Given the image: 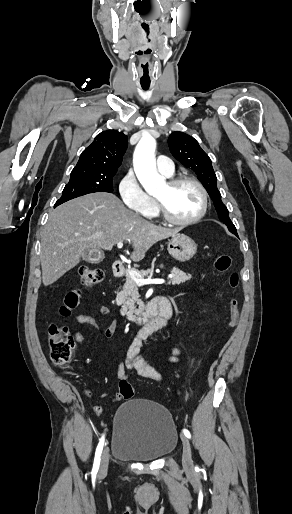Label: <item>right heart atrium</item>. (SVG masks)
<instances>
[{
  "label": "right heart atrium",
  "instance_id": "d8ad5b80",
  "mask_svg": "<svg viewBox=\"0 0 292 514\" xmlns=\"http://www.w3.org/2000/svg\"><path fill=\"white\" fill-rule=\"evenodd\" d=\"M118 194L128 209H141V212H146L151 207V198L132 170L126 171L120 178Z\"/></svg>",
  "mask_w": 292,
  "mask_h": 514
}]
</instances>
